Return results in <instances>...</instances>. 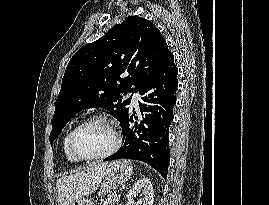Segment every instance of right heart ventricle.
Listing matches in <instances>:
<instances>
[{
  "label": "right heart ventricle",
  "mask_w": 269,
  "mask_h": 205,
  "mask_svg": "<svg viewBox=\"0 0 269 205\" xmlns=\"http://www.w3.org/2000/svg\"><path fill=\"white\" fill-rule=\"evenodd\" d=\"M71 131H72V129L68 130L63 137V152L65 155V158L69 162H76L77 160L72 157V155L70 154L69 149H68V139H69V135H70Z\"/></svg>",
  "instance_id": "e07e8e85"
}]
</instances>
